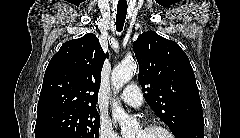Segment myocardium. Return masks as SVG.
<instances>
[{"instance_id":"myocardium-1","label":"myocardium","mask_w":240,"mask_h":138,"mask_svg":"<svg viewBox=\"0 0 240 138\" xmlns=\"http://www.w3.org/2000/svg\"><path fill=\"white\" fill-rule=\"evenodd\" d=\"M144 129L145 130H151V131L152 130L161 131V132L166 134V138H173L172 132L168 128H166V127H164V126H162L158 123H149L145 126Z\"/></svg>"}]
</instances>
